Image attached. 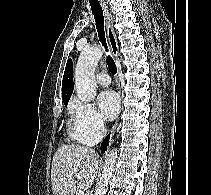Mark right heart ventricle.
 <instances>
[{
	"label": "right heart ventricle",
	"instance_id": "1",
	"mask_svg": "<svg viewBox=\"0 0 211 195\" xmlns=\"http://www.w3.org/2000/svg\"><path fill=\"white\" fill-rule=\"evenodd\" d=\"M72 135L74 136V131H73V129H72ZM75 137V136H74ZM76 138V137H75ZM77 139V138H76Z\"/></svg>",
	"mask_w": 211,
	"mask_h": 195
}]
</instances>
